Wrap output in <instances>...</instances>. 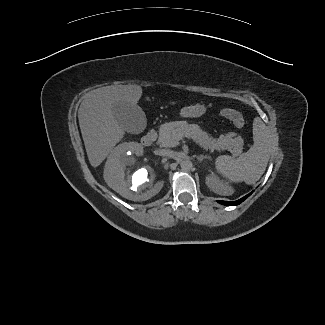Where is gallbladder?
I'll use <instances>...</instances> for the list:
<instances>
[{
	"label": "gallbladder",
	"instance_id": "gallbladder-1",
	"mask_svg": "<svg viewBox=\"0 0 325 325\" xmlns=\"http://www.w3.org/2000/svg\"><path fill=\"white\" fill-rule=\"evenodd\" d=\"M113 113L122 128L132 134L141 133L146 127V116L138 105L119 102L113 106Z\"/></svg>",
	"mask_w": 325,
	"mask_h": 325
}]
</instances>
